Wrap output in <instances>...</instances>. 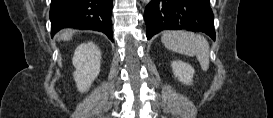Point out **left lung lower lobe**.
<instances>
[{"label":"left lung lower lobe","instance_id":"0a47b994","mask_svg":"<svg viewBox=\"0 0 273 118\" xmlns=\"http://www.w3.org/2000/svg\"><path fill=\"white\" fill-rule=\"evenodd\" d=\"M147 39L164 29L203 32L215 40L210 0H152L145 8Z\"/></svg>","mask_w":273,"mask_h":118}]
</instances>
